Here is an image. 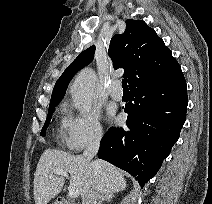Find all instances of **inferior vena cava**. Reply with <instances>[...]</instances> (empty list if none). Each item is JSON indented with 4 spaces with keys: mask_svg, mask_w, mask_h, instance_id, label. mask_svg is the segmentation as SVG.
<instances>
[{
    "mask_svg": "<svg viewBox=\"0 0 212 204\" xmlns=\"http://www.w3.org/2000/svg\"><path fill=\"white\" fill-rule=\"evenodd\" d=\"M102 138V132H97L91 138L88 146L83 152V157L90 163L92 158L97 154L100 141ZM99 192L95 187H91L82 197V204H97Z\"/></svg>",
    "mask_w": 212,
    "mask_h": 204,
    "instance_id": "obj_1",
    "label": "inferior vena cava"
}]
</instances>
